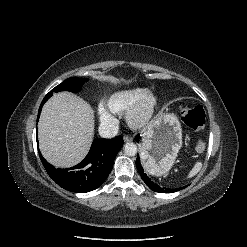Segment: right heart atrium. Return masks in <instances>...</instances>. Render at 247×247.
<instances>
[{
	"label": "right heart atrium",
	"mask_w": 247,
	"mask_h": 247,
	"mask_svg": "<svg viewBox=\"0 0 247 247\" xmlns=\"http://www.w3.org/2000/svg\"><path fill=\"white\" fill-rule=\"evenodd\" d=\"M98 113H99L100 121L103 124H105V125H113L114 124L115 119L104 108H100Z\"/></svg>",
	"instance_id": "obj_1"
}]
</instances>
